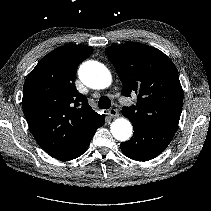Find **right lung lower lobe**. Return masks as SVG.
<instances>
[{"label":"right lung lower lobe","instance_id":"right-lung-lower-lobe-1","mask_svg":"<svg viewBox=\"0 0 211 211\" xmlns=\"http://www.w3.org/2000/svg\"><path fill=\"white\" fill-rule=\"evenodd\" d=\"M103 124L104 119L94 129H92L87 136L77 142L72 148L56 156L55 158L62 161H68L81 156L87 150L95 131Z\"/></svg>","mask_w":211,"mask_h":211}]
</instances>
